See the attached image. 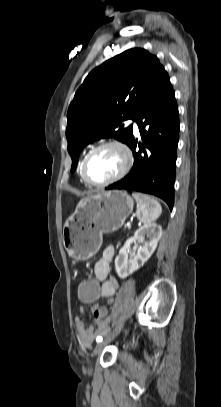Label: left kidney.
Instances as JSON below:
<instances>
[{
	"label": "left kidney",
	"mask_w": 221,
	"mask_h": 407,
	"mask_svg": "<svg viewBox=\"0 0 221 407\" xmlns=\"http://www.w3.org/2000/svg\"><path fill=\"white\" fill-rule=\"evenodd\" d=\"M145 236L149 238L148 241L144 240ZM161 236L162 227L155 223L146 224L136 230L134 236L127 239L124 246L119 250V254L115 259L117 275L121 279H125L143 266L155 251ZM136 241L143 243V245L140 246L137 254L133 258L128 259L131 244Z\"/></svg>",
	"instance_id": "left-kidney-1"
}]
</instances>
